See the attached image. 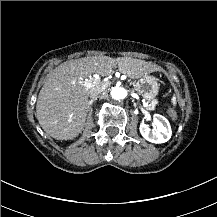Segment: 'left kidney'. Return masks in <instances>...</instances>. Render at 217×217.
Masks as SVG:
<instances>
[{"label": "left kidney", "mask_w": 217, "mask_h": 217, "mask_svg": "<svg viewBox=\"0 0 217 217\" xmlns=\"http://www.w3.org/2000/svg\"><path fill=\"white\" fill-rule=\"evenodd\" d=\"M153 122L156 130L146 126L144 122L140 124L139 130L141 136L148 142L161 144L167 142L171 137V128L165 117L155 114Z\"/></svg>", "instance_id": "obj_1"}]
</instances>
